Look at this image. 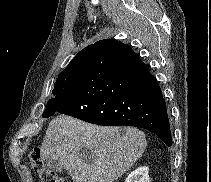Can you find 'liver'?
<instances>
[{"label":"liver","mask_w":211,"mask_h":182,"mask_svg":"<svg viewBox=\"0 0 211 182\" xmlns=\"http://www.w3.org/2000/svg\"><path fill=\"white\" fill-rule=\"evenodd\" d=\"M145 134L131 127H103L60 115L46 131L41 146L43 159L53 158L67 170L73 182H114L142 156ZM92 160L81 155L82 149Z\"/></svg>","instance_id":"obj_1"}]
</instances>
